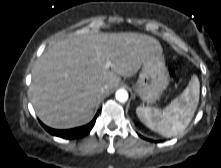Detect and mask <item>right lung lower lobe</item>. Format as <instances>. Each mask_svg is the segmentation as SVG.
<instances>
[{
    "label": "right lung lower lobe",
    "mask_w": 221,
    "mask_h": 168,
    "mask_svg": "<svg viewBox=\"0 0 221 168\" xmlns=\"http://www.w3.org/2000/svg\"><path fill=\"white\" fill-rule=\"evenodd\" d=\"M98 114H99V112L96 114L94 119L89 124L82 126V127L68 129V130L51 129V128L45 126L44 124H42V123L41 124L50 134H52L54 136H58V137L65 138V139H75V138L83 137L90 132V130L92 129V127L95 124Z\"/></svg>",
    "instance_id": "obj_1"
}]
</instances>
